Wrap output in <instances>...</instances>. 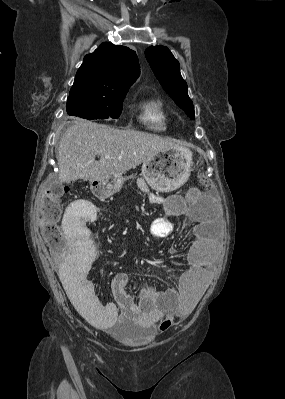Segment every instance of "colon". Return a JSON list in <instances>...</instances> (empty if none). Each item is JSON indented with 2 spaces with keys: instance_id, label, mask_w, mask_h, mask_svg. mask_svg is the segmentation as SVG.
Instances as JSON below:
<instances>
[{
  "instance_id": "colon-1",
  "label": "colon",
  "mask_w": 285,
  "mask_h": 399,
  "mask_svg": "<svg viewBox=\"0 0 285 399\" xmlns=\"http://www.w3.org/2000/svg\"><path fill=\"white\" fill-rule=\"evenodd\" d=\"M201 180L205 181V178L201 177ZM95 192L97 195H102L97 189H95ZM65 194L66 192L62 185L51 183L42 191L37 208L39 219L43 223L41 235L46 241L50 252L59 259L65 258L68 254L64 230L59 224L61 218L60 207ZM199 194L200 190L193 189L190 191V195L193 197Z\"/></svg>"
}]
</instances>
